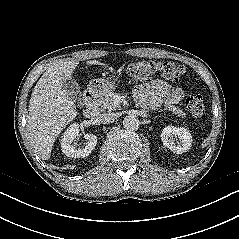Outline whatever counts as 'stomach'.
Instances as JSON below:
<instances>
[{"mask_svg": "<svg viewBox=\"0 0 239 239\" xmlns=\"http://www.w3.org/2000/svg\"><path fill=\"white\" fill-rule=\"evenodd\" d=\"M116 79H104V78H97L93 79L89 83V89L93 93L103 94L107 93L111 89L115 87Z\"/></svg>", "mask_w": 239, "mask_h": 239, "instance_id": "0dacf381", "label": "stomach"}]
</instances>
